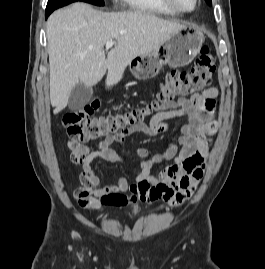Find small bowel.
<instances>
[{
	"mask_svg": "<svg viewBox=\"0 0 265 269\" xmlns=\"http://www.w3.org/2000/svg\"><path fill=\"white\" fill-rule=\"evenodd\" d=\"M217 95V88L210 87L190 98L171 100L148 122L138 123L119 135L102 139L94 145L69 140L67 146L71 151L70 158L82 166L79 177L81 186L73 192L78 205L84 209L101 211L109 207L149 202L153 200L148 194L151 186L164 187V197L171 204L181 203L190 197L204 175L209 151L207 136L215 128L213 120ZM177 117H185L186 123L172 137L163 152L152 155L145 148H136L133 153L139 161L133 163L116 150V145L123 146L126 138L134 133L157 136L166 129V121ZM96 158H102L111 164L135 165L140 173L133 183L120 177L116 182L104 184L93 166ZM164 161L171 163L159 174H155L154 167Z\"/></svg>",
	"mask_w": 265,
	"mask_h": 269,
	"instance_id": "1",
	"label": "small bowel"
}]
</instances>
